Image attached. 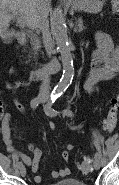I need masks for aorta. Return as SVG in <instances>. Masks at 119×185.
Returning <instances> with one entry per match:
<instances>
[{"label":"aorta","mask_w":119,"mask_h":185,"mask_svg":"<svg viewBox=\"0 0 119 185\" xmlns=\"http://www.w3.org/2000/svg\"><path fill=\"white\" fill-rule=\"evenodd\" d=\"M51 31L55 38L63 66V75L53 90L54 95H59L69 86L74 76L73 58L67 34V26L65 17L59 7L54 10L51 18Z\"/></svg>","instance_id":"762f6f07"}]
</instances>
